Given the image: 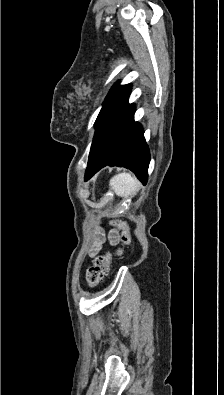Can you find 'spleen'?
I'll return each instance as SVG.
<instances>
[{
    "instance_id": "3e777b00",
    "label": "spleen",
    "mask_w": 224,
    "mask_h": 395,
    "mask_svg": "<svg viewBox=\"0 0 224 395\" xmlns=\"http://www.w3.org/2000/svg\"><path fill=\"white\" fill-rule=\"evenodd\" d=\"M110 187L116 195L120 197H129L136 195L139 190L140 183L132 173H119L112 177L109 182Z\"/></svg>"
}]
</instances>
